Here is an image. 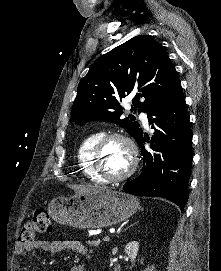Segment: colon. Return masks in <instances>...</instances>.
Here are the masks:
<instances>
[{
    "mask_svg": "<svg viewBox=\"0 0 221 271\" xmlns=\"http://www.w3.org/2000/svg\"><path fill=\"white\" fill-rule=\"evenodd\" d=\"M51 227L52 222L47 210L38 209L33 218L23 225L19 235V242L21 244L32 242L39 234L49 233Z\"/></svg>",
    "mask_w": 221,
    "mask_h": 271,
    "instance_id": "obj_1",
    "label": "colon"
}]
</instances>
